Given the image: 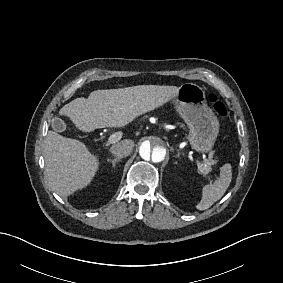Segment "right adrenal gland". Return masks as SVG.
Here are the masks:
<instances>
[{
    "label": "right adrenal gland",
    "mask_w": 283,
    "mask_h": 283,
    "mask_svg": "<svg viewBox=\"0 0 283 283\" xmlns=\"http://www.w3.org/2000/svg\"><path fill=\"white\" fill-rule=\"evenodd\" d=\"M107 161H108V162H111V163H112V166L115 167L116 162L120 161V158H115V159H113V160L107 159Z\"/></svg>",
    "instance_id": "1"
}]
</instances>
